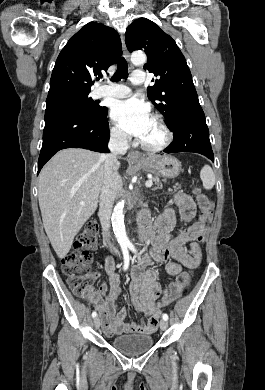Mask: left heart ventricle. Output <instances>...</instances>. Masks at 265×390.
I'll list each match as a JSON object with an SVG mask.
<instances>
[{
    "instance_id": "obj_1",
    "label": "left heart ventricle",
    "mask_w": 265,
    "mask_h": 390,
    "mask_svg": "<svg viewBox=\"0 0 265 390\" xmlns=\"http://www.w3.org/2000/svg\"><path fill=\"white\" fill-rule=\"evenodd\" d=\"M163 138L162 132L159 128V126L155 123V121L152 122L151 127L149 131L147 132L146 136L141 140L147 144H157L159 143Z\"/></svg>"
}]
</instances>
